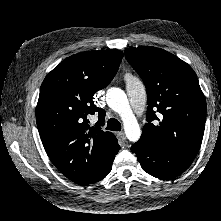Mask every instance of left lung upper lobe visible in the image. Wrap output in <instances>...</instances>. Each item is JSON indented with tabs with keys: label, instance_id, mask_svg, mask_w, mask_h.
<instances>
[{
	"label": "left lung upper lobe",
	"instance_id": "obj_1",
	"mask_svg": "<svg viewBox=\"0 0 221 221\" xmlns=\"http://www.w3.org/2000/svg\"><path fill=\"white\" fill-rule=\"evenodd\" d=\"M124 52L143 79L148 97V123L136 144L166 147L194 160L206 120V100L195 72L160 48L140 47Z\"/></svg>",
	"mask_w": 221,
	"mask_h": 221
}]
</instances>
